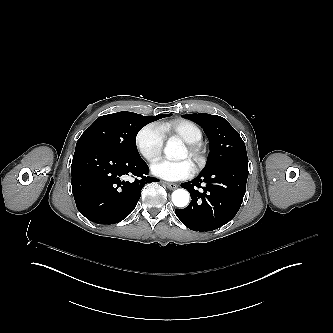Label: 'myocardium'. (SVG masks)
Masks as SVG:
<instances>
[{"mask_svg": "<svg viewBox=\"0 0 333 333\" xmlns=\"http://www.w3.org/2000/svg\"><path fill=\"white\" fill-rule=\"evenodd\" d=\"M195 168L201 169L206 163V149L201 142L188 143L186 146Z\"/></svg>", "mask_w": 333, "mask_h": 333, "instance_id": "obj_1", "label": "myocardium"}]
</instances>
